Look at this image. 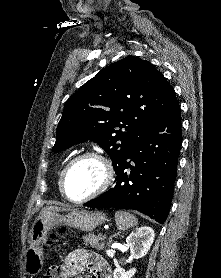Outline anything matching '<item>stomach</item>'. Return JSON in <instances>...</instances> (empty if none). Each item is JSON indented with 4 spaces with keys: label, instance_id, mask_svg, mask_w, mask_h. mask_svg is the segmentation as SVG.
Returning a JSON list of instances; mask_svg holds the SVG:
<instances>
[{
    "label": "stomach",
    "instance_id": "1",
    "mask_svg": "<svg viewBox=\"0 0 221 278\" xmlns=\"http://www.w3.org/2000/svg\"><path fill=\"white\" fill-rule=\"evenodd\" d=\"M107 217L98 211L73 210L67 214L43 213L34 221L28 238L29 248L26 252L27 275H40L43 272L42 247L47 241L50 231L61 227H72L81 231H92L97 226L105 223Z\"/></svg>",
    "mask_w": 221,
    "mask_h": 278
}]
</instances>
